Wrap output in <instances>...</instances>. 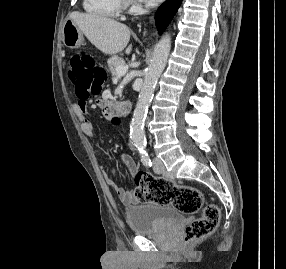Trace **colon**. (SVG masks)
I'll list each match as a JSON object with an SVG mask.
<instances>
[{
	"label": "colon",
	"instance_id": "1",
	"mask_svg": "<svg viewBox=\"0 0 286 269\" xmlns=\"http://www.w3.org/2000/svg\"><path fill=\"white\" fill-rule=\"evenodd\" d=\"M70 78L82 97L95 94L96 83L101 78V69L91 56L79 52L70 58ZM116 116L115 121H120ZM135 196L139 201L172 205L181 213L192 214L202 209L201 216L187 226L184 242L189 244L210 235L216 229L220 212L216 205L205 204L203 193L192 186L178 185L148 173H138L135 177Z\"/></svg>",
	"mask_w": 286,
	"mask_h": 269
}]
</instances>
